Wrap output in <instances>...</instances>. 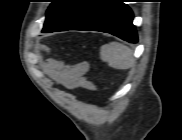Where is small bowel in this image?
<instances>
[{
    "label": "small bowel",
    "mask_w": 182,
    "mask_h": 140,
    "mask_svg": "<svg viewBox=\"0 0 182 140\" xmlns=\"http://www.w3.org/2000/svg\"><path fill=\"white\" fill-rule=\"evenodd\" d=\"M87 64H80L66 70L54 72L51 77L57 84L64 86L67 89L85 88L94 89L93 84L85 78L87 72Z\"/></svg>",
    "instance_id": "small-bowel-1"
}]
</instances>
